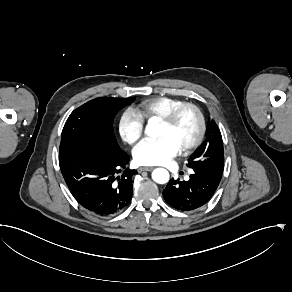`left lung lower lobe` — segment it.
I'll list each match as a JSON object with an SVG mask.
<instances>
[{"mask_svg":"<svg viewBox=\"0 0 292 292\" xmlns=\"http://www.w3.org/2000/svg\"><path fill=\"white\" fill-rule=\"evenodd\" d=\"M221 178L193 172L188 181L170 180L163 197L172 208L188 212L206 204L214 195Z\"/></svg>","mask_w":292,"mask_h":292,"instance_id":"1","label":"left lung lower lobe"}]
</instances>
